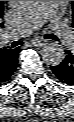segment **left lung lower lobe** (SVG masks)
Here are the masks:
<instances>
[{
  "label": "left lung lower lobe",
  "instance_id": "obj_1",
  "mask_svg": "<svg viewBox=\"0 0 74 122\" xmlns=\"http://www.w3.org/2000/svg\"><path fill=\"white\" fill-rule=\"evenodd\" d=\"M51 69L61 83L74 85V49L65 50V59Z\"/></svg>",
  "mask_w": 74,
  "mask_h": 122
}]
</instances>
